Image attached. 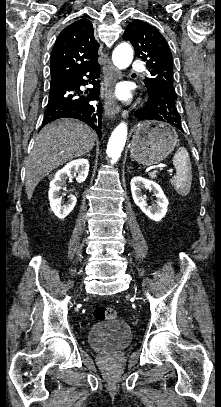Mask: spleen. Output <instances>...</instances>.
<instances>
[{
    "label": "spleen",
    "instance_id": "obj_1",
    "mask_svg": "<svg viewBox=\"0 0 221 407\" xmlns=\"http://www.w3.org/2000/svg\"><path fill=\"white\" fill-rule=\"evenodd\" d=\"M173 165L176 169V176L170 179V183L181 196H186L191 189L192 171L188 151L185 147H180L173 157Z\"/></svg>",
    "mask_w": 221,
    "mask_h": 407
}]
</instances>
